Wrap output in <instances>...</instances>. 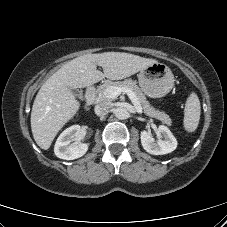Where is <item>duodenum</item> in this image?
<instances>
[{
	"instance_id": "obj_1",
	"label": "duodenum",
	"mask_w": 227,
	"mask_h": 227,
	"mask_svg": "<svg viewBox=\"0 0 227 227\" xmlns=\"http://www.w3.org/2000/svg\"><path fill=\"white\" fill-rule=\"evenodd\" d=\"M96 102V88L95 86L88 87L86 91L85 105L87 108L91 107Z\"/></svg>"
}]
</instances>
